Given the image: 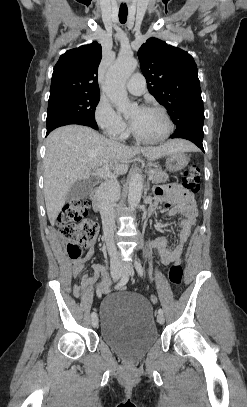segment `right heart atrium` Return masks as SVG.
<instances>
[{
  "mask_svg": "<svg viewBox=\"0 0 247 407\" xmlns=\"http://www.w3.org/2000/svg\"><path fill=\"white\" fill-rule=\"evenodd\" d=\"M94 119L98 127L110 138L123 139L127 132V123L115 111L105 97H101L94 109Z\"/></svg>",
  "mask_w": 247,
  "mask_h": 407,
  "instance_id": "obj_1",
  "label": "right heart atrium"
}]
</instances>
